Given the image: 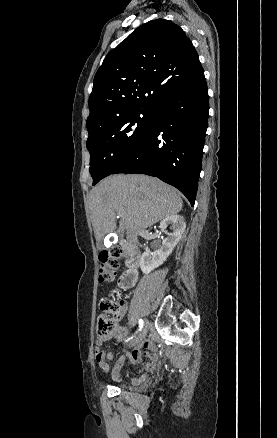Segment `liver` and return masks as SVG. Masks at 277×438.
Here are the masks:
<instances>
[{
  "label": "liver",
  "mask_w": 277,
  "mask_h": 438,
  "mask_svg": "<svg viewBox=\"0 0 277 438\" xmlns=\"http://www.w3.org/2000/svg\"><path fill=\"white\" fill-rule=\"evenodd\" d=\"M90 210L95 238L116 230V216L122 232H141L159 220L181 212L183 202L175 188L143 174H116L90 192Z\"/></svg>",
  "instance_id": "liver-1"
}]
</instances>
